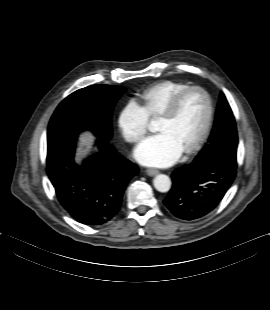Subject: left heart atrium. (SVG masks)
Returning a JSON list of instances; mask_svg holds the SVG:
<instances>
[{
  "label": "left heart atrium",
  "mask_w": 270,
  "mask_h": 310,
  "mask_svg": "<svg viewBox=\"0 0 270 310\" xmlns=\"http://www.w3.org/2000/svg\"><path fill=\"white\" fill-rule=\"evenodd\" d=\"M181 154L180 147L164 132L145 138L134 150L136 160L147 166L170 165Z\"/></svg>",
  "instance_id": "left-heart-atrium-1"
}]
</instances>
